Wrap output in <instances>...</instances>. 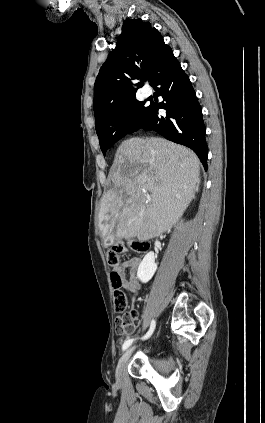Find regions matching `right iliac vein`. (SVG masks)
I'll return each instance as SVG.
<instances>
[{"label":"right iliac vein","instance_id":"63e3f726","mask_svg":"<svg viewBox=\"0 0 265 423\" xmlns=\"http://www.w3.org/2000/svg\"><path fill=\"white\" fill-rule=\"evenodd\" d=\"M134 349H135V346L130 347L121 356V358H120V360L118 362L117 368H116V377H117V379H119L121 377L122 372H123V370H124V368L126 366V363H127L128 359L131 356V354H132V352H133Z\"/></svg>","mask_w":265,"mask_h":423}]
</instances>
